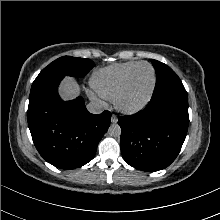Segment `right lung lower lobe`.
<instances>
[{"label": "right lung lower lobe", "instance_id": "98d812e1", "mask_svg": "<svg viewBox=\"0 0 220 220\" xmlns=\"http://www.w3.org/2000/svg\"><path fill=\"white\" fill-rule=\"evenodd\" d=\"M56 75L33 82L27 111L34 145L50 164L75 169L91 161L110 125L111 113L91 114L82 97L64 102Z\"/></svg>", "mask_w": 220, "mask_h": 220}]
</instances>
